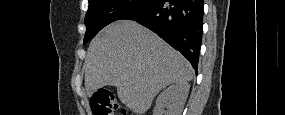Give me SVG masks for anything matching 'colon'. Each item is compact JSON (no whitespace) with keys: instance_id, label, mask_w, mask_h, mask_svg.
<instances>
[{"instance_id":"obj_1","label":"colon","mask_w":285,"mask_h":115,"mask_svg":"<svg viewBox=\"0 0 285 115\" xmlns=\"http://www.w3.org/2000/svg\"><path fill=\"white\" fill-rule=\"evenodd\" d=\"M90 105L94 115H112L116 110H120L121 114H129L128 110L107 90L97 91Z\"/></svg>"}]
</instances>
